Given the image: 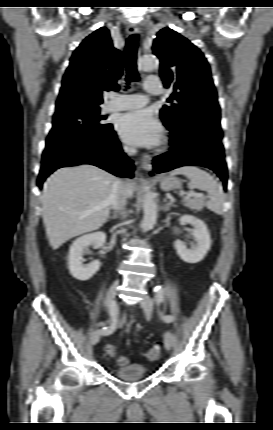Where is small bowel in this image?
Returning <instances> with one entry per match:
<instances>
[{"label":"small bowel","mask_w":273,"mask_h":430,"mask_svg":"<svg viewBox=\"0 0 273 430\" xmlns=\"http://www.w3.org/2000/svg\"><path fill=\"white\" fill-rule=\"evenodd\" d=\"M126 319L125 318H122L117 324H116V329H118V330H121V329H123L124 327H125V325H126ZM100 325H102L101 323H100Z\"/></svg>","instance_id":"obj_1"}]
</instances>
